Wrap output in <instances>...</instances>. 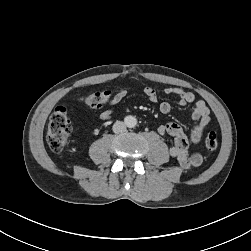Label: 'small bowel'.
Segmentation results:
<instances>
[{"label": "small bowel", "mask_w": 251, "mask_h": 251, "mask_svg": "<svg viewBox=\"0 0 251 251\" xmlns=\"http://www.w3.org/2000/svg\"><path fill=\"white\" fill-rule=\"evenodd\" d=\"M144 93L147 99L156 103L158 101V93L153 87H145ZM166 95H174L178 98L179 104L185 106L195 101V95L180 87H168L164 89ZM127 95L126 88H119L112 99L108 102L109 106L116 105L121 102ZM161 113L166 114L171 110L169 102H161L159 104ZM113 111L110 108L104 109L100 113V119L103 121H110ZM192 118L198 121L197 125L192 129L190 138L188 139L183 133L182 128L176 123H167L158 127V133L162 136H170L173 138V145L170 148V155L175 158L180 166L185 170H191L202 164L203 158L197 152L189 151V143L197 145L208 129L210 124V110L203 100L195 102V107L192 112Z\"/></svg>", "instance_id": "1"}]
</instances>
